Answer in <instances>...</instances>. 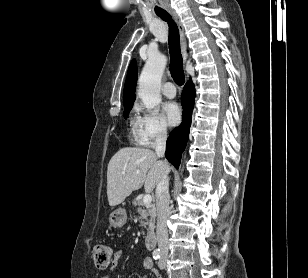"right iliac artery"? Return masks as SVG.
Segmentation results:
<instances>
[{
	"label": "right iliac artery",
	"instance_id": "82829eb1",
	"mask_svg": "<svg viewBox=\"0 0 308 278\" xmlns=\"http://www.w3.org/2000/svg\"><path fill=\"white\" fill-rule=\"evenodd\" d=\"M153 258H154L155 260L160 258V249H155V250L153 251Z\"/></svg>",
	"mask_w": 308,
	"mask_h": 278
}]
</instances>
